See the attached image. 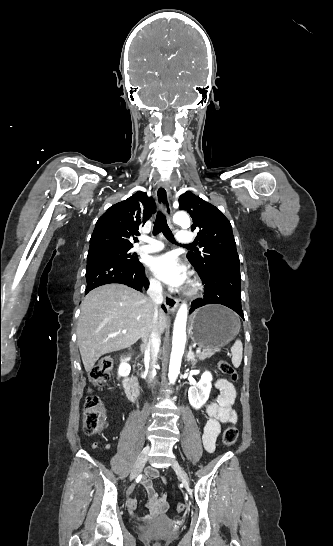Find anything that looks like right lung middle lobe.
<instances>
[{
	"label": "right lung middle lobe",
	"mask_w": 333,
	"mask_h": 546,
	"mask_svg": "<svg viewBox=\"0 0 333 546\" xmlns=\"http://www.w3.org/2000/svg\"><path fill=\"white\" fill-rule=\"evenodd\" d=\"M131 247H104L88 253L89 257L92 254H102L120 259L131 264L140 263L138 257L130 252Z\"/></svg>",
	"instance_id": "1"
}]
</instances>
